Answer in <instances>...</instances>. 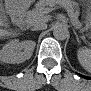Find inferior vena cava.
<instances>
[{"label":"inferior vena cava","mask_w":91,"mask_h":91,"mask_svg":"<svg viewBox=\"0 0 91 91\" xmlns=\"http://www.w3.org/2000/svg\"><path fill=\"white\" fill-rule=\"evenodd\" d=\"M33 28L35 31L36 30H44L47 28V25L45 22L41 21V22H34L33 24Z\"/></svg>","instance_id":"1"}]
</instances>
